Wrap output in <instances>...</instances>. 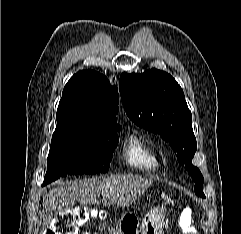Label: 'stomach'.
<instances>
[{"label": "stomach", "instance_id": "obj_1", "mask_svg": "<svg viewBox=\"0 0 241 234\" xmlns=\"http://www.w3.org/2000/svg\"><path fill=\"white\" fill-rule=\"evenodd\" d=\"M164 213L160 209L149 212L140 223L139 219L131 214H124L119 221V234H164Z\"/></svg>", "mask_w": 241, "mask_h": 234}]
</instances>
